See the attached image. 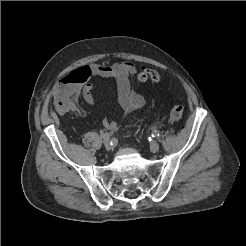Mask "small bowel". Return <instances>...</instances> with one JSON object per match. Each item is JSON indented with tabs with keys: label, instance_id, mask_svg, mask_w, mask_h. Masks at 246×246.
Instances as JSON below:
<instances>
[{
	"label": "small bowel",
	"instance_id": "small-bowel-1",
	"mask_svg": "<svg viewBox=\"0 0 246 246\" xmlns=\"http://www.w3.org/2000/svg\"><path fill=\"white\" fill-rule=\"evenodd\" d=\"M136 72V67L128 61L111 65L89 64L78 67L62 77L55 87L53 91L54 107L59 114L68 112L82 114V110L78 105V98L81 95L86 103L94 104L93 86L89 79L92 76H98L115 82L118 102L124 114L129 115L141 109L146 103L145 98L135 92L131 85L130 78ZM103 125L110 132L117 127L115 121L107 118L103 120Z\"/></svg>",
	"mask_w": 246,
	"mask_h": 246
}]
</instances>
